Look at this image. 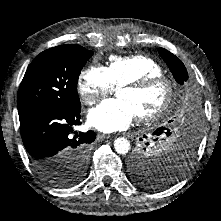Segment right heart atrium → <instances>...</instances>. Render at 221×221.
<instances>
[{
	"mask_svg": "<svg viewBox=\"0 0 221 221\" xmlns=\"http://www.w3.org/2000/svg\"><path fill=\"white\" fill-rule=\"evenodd\" d=\"M115 85L108 69L94 65L84 70L78 80V91L85 104H93L101 97L114 91Z\"/></svg>",
	"mask_w": 221,
	"mask_h": 221,
	"instance_id": "1",
	"label": "right heart atrium"
}]
</instances>
